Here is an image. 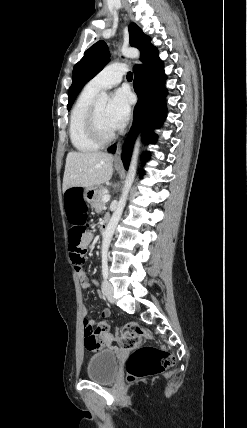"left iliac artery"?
Listing matches in <instances>:
<instances>
[{"mask_svg": "<svg viewBox=\"0 0 247 428\" xmlns=\"http://www.w3.org/2000/svg\"><path fill=\"white\" fill-rule=\"evenodd\" d=\"M102 275L106 279L108 277V260L107 256L102 257Z\"/></svg>", "mask_w": 247, "mask_h": 428, "instance_id": "1", "label": "left iliac artery"}]
</instances>
